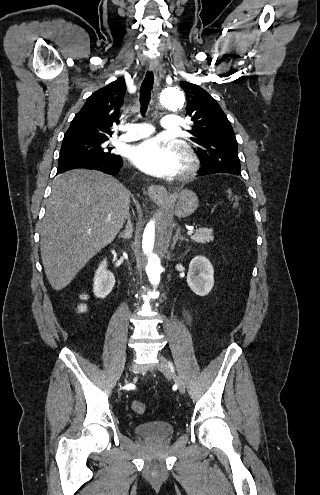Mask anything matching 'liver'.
Segmentation results:
<instances>
[{"label":"liver","instance_id":"liver-1","mask_svg":"<svg viewBox=\"0 0 320 495\" xmlns=\"http://www.w3.org/2000/svg\"><path fill=\"white\" fill-rule=\"evenodd\" d=\"M130 193L116 179L91 170H71L53 181L40 229L45 274L55 290L65 288L129 215Z\"/></svg>","mask_w":320,"mask_h":495}]
</instances>
